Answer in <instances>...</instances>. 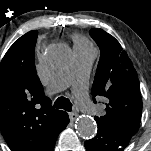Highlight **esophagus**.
<instances>
[{"label":"esophagus","mask_w":151,"mask_h":151,"mask_svg":"<svg viewBox=\"0 0 151 151\" xmlns=\"http://www.w3.org/2000/svg\"><path fill=\"white\" fill-rule=\"evenodd\" d=\"M70 120L75 121L78 117V114L76 112H72L69 114Z\"/></svg>","instance_id":"34e87169"}]
</instances>
